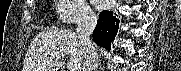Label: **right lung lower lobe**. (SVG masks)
<instances>
[{
  "instance_id": "obj_1",
  "label": "right lung lower lobe",
  "mask_w": 181,
  "mask_h": 71,
  "mask_svg": "<svg viewBox=\"0 0 181 71\" xmlns=\"http://www.w3.org/2000/svg\"><path fill=\"white\" fill-rule=\"evenodd\" d=\"M118 27L119 20L116 19L114 13L112 11H102L92 34L94 42L106 50H110L111 42L117 34Z\"/></svg>"
}]
</instances>
